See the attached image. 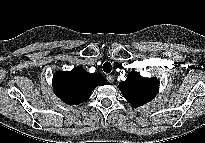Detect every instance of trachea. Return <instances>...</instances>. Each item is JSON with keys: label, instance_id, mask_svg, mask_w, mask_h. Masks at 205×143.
I'll use <instances>...</instances> for the list:
<instances>
[{"label": "trachea", "instance_id": "1", "mask_svg": "<svg viewBox=\"0 0 205 143\" xmlns=\"http://www.w3.org/2000/svg\"><path fill=\"white\" fill-rule=\"evenodd\" d=\"M103 70H104V72H106V73H110L111 70H112V65H111V63H110V62H105V63L103 64Z\"/></svg>", "mask_w": 205, "mask_h": 143}]
</instances>
